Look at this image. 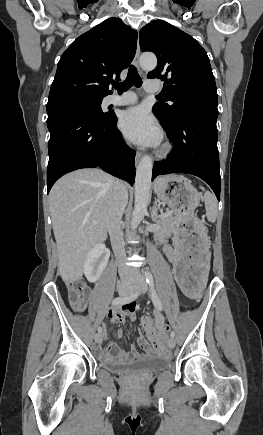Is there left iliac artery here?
I'll return each instance as SVG.
<instances>
[{
    "label": "left iliac artery",
    "mask_w": 263,
    "mask_h": 435,
    "mask_svg": "<svg viewBox=\"0 0 263 435\" xmlns=\"http://www.w3.org/2000/svg\"><path fill=\"white\" fill-rule=\"evenodd\" d=\"M144 274L146 277V282L149 284V287H150L151 298H152L153 304L158 310H162V304L158 298L157 292H156L155 287H154L153 276L149 271H145ZM170 336H171V338H174L175 333L172 331L170 333Z\"/></svg>",
    "instance_id": "1"
}]
</instances>
